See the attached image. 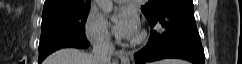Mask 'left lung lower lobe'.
<instances>
[{
  "instance_id": "left-lung-lower-lobe-1",
  "label": "left lung lower lobe",
  "mask_w": 242,
  "mask_h": 64,
  "mask_svg": "<svg viewBox=\"0 0 242 64\" xmlns=\"http://www.w3.org/2000/svg\"><path fill=\"white\" fill-rule=\"evenodd\" d=\"M147 20L152 29L150 38L146 46L135 53L136 63L180 58L204 64L205 55L194 18L193 0L173 2ZM158 26L164 32H157L155 28Z\"/></svg>"
}]
</instances>
